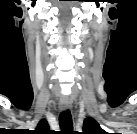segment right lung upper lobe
<instances>
[{
	"label": "right lung upper lobe",
	"instance_id": "obj_1",
	"mask_svg": "<svg viewBox=\"0 0 137 134\" xmlns=\"http://www.w3.org/2000/svg\"><path fill=\"white\" fill-rule=\"evenodd\" d=\"M35 134H48L49 131V125L46 120H41L36 129L33 131Z\"/></svg>",
	"mask_w": 137,
	"mask_h": 134
}]
</instances>
